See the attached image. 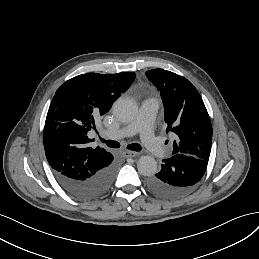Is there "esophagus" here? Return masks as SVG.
I'll list each match as a JSON object with an SVG mask.
<instances>
[{
	"mask_svg": "<svg viewBox=\"0 0 259 259\" xmlns=\"http://www.w3.org/2000/svg\"><path fill=\"white\" fill-rule=\"evenodd\" d=\"M122 155L126 158H132L138 156V152H133V151H124Z\"/></svg>",
	"mask_w": 259,
	"mask_h": 259,
	"instance_id": "34e87169",
	"label": "esophagus"
}]
</instances>
